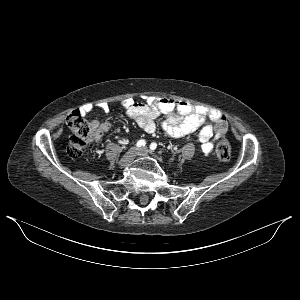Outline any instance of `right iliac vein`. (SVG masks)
I'll return each instance as SVG.
<instances>
[{
  "mask_svg": "<svg viewBox=\"0 0 300 300\" xmlns=\"http://www.w3.org/2000/svg\"><path fill=\"white\" fill-rule=\"evenodd\" d=\"M137 153H138L137 148H135V147L130 148V149L125 153V155L121 158V160H120V162H119V166H120V167H125V166H127L129 163H131V162L135 159Z\"/></svg>",
  "mask_w": 300,
  "mask_h": 300,
  "instance_id": "obj_1",
  "label": "right iliac vein"
}]
</instances>
